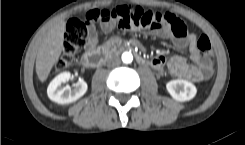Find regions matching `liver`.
<instances>
[{"mask_svg": "<svg viewBox=\"0 0 245 145\" xmlns=\"http://www.w3.org/2000/svg\"><path fill=\"white\" fill-rule=\"evenodd\" d=\"M65 22L54 25L43 38L37 58L36 73L41 82L46 81L53 65L57 63L63 50Z\"/></svg>", "mask_w": 245, "mask_h": 145, "instance_id": "obj_1", "label": "liver"}]
</instances>
